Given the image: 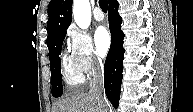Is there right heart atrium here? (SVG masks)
<instances>
[{
	"label": "right heart atrium",
	"mask_w": 193,
	"mask_h": 112,
	"mask_svg": "<svg viewBox=\"0 0 193 112\" xmlns=\"http://www.w3.org/2000/svg\"><path fill=\"white\" fill-rule=\"evenodd\" d=\"M71 57L84 76H92L99 73L103 68L102 60L96 55L90 37L72 27L67 33Z\"/></svg>",
	"instance_id": "1"
}]
</instances>
